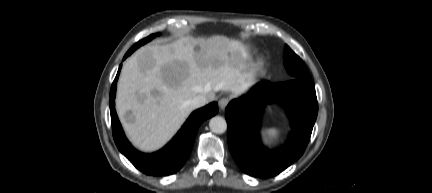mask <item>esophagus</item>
I'll return each instance as SVG.
<instances>
[{
	"label": "esophagus",
	"mask_w": 432,
	"mask_h": 193,
	"mask_svg": "<svg viewBox=\"0 0 432 193\" xmlns=\"http://www.w3.org/2000/svg\"><path fill=\"white\" fill-rule=\"evenodd\" d=\"M229 98L223 97L219 100V107L221 110H224L226 106L229 104Z\"/></svg>",
	"instance_id": "obj_1"
}]
</instances>
